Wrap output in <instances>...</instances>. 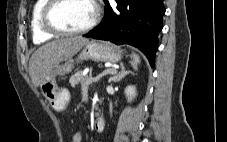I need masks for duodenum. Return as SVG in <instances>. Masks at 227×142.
Masks as SVG:
<instances>
[{"label":"duodenum","instance_id":"obj_1","mask_svg":"<svg viewBox=\"0 0 227 142\" xmlns=\"http://www.w3.org/2000/svg\"><path fill=\"white\" fill-rule=\"evenodd\" d=\"M93 127L96 132H102L105 127V118L102 115L97 116L94 120Z\"/></svg>","mask_w":227,"mask_h":142}]
</instances>
